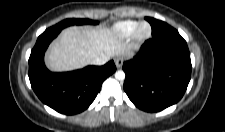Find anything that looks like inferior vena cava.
<instances>
[{"label": "inferior vena cava", "instance_id": "inferior-vena-cava-1", "mask_svg": "<svg viewBox=\"0 0 225 132\" xmlns=\"http://www.w3.org/2000/svg\"><path fill=\"white\" fill-rule=\"evenodd\" d=\"M109 60L108 56H100L91 60L93 65H104Z\"/></svg>", "mask_w": 225, "mask_h": 132}]
</instances>
